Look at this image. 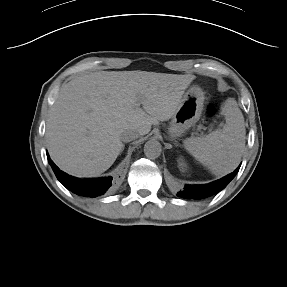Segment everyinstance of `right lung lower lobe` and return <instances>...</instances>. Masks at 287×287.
Listing matches in <instances>:
<instances>
[{
  "mask_svg": "<svg viewBox=\"0 0 287 287\" xmlns=\"http://www.w3.org/2000/svg\"><path fill=\"white\" fill-rule=\"evenodd\" d=\"M57 179L70 191L75 194L95 198L104 194H109L114 186L112 177L97 179H79L62 172L53 161L47 156Z\"/></svg>",
  "mask_w": 287,
  "mask_h": 287,
  "instance_id": "98d812e1",
  "label": "right lung lower lobe"
}]
</instances>
